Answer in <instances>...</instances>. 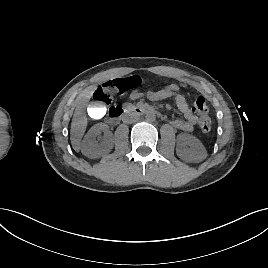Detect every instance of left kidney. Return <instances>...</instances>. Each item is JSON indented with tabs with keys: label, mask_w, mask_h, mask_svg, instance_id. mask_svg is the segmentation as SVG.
Instances as JSON below:
<instances>
[{
	"label": "left kidney",
	"mask_w": 268,
	"mask_h": 268,
	"mask_svg": "<svg viewBox=\"0 0 268 268\" xmlns=\"http://www.w3.org/2000/svg\"><path fill=\"white\" fill-rule=\"evenodd\" d=\"M176 153L179 158L187 162H200L207 155L201 141L187 133H181L177 136Z\"/></svg>",
	"instance_id": "1"
}]
</instances>
